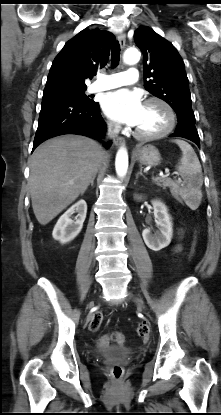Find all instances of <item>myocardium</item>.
Wrapping results in <instances>:
<instances>
[{
    "label": "myocardium",
    "instance_id": "1",
    "mask_svg": "<svg viewBox=\"0 0 221 415\" xmlns=\"http://www.w3.org/2000/svg\"><path fill=\"white\" fill-rule=\"evenodd\" d=\"M150 103H158L165 108L168 114V124L162 131L157 132V133H152V134L142 133L135 128L134 135L137 138L143 139V140H156V139L163 138L169 135L176 126V113L169 102L159 97H150L145 101V104H150Z\"/></svg>",
    "mask_w": 221,
    "mask_h": 415
}]
</instances>
